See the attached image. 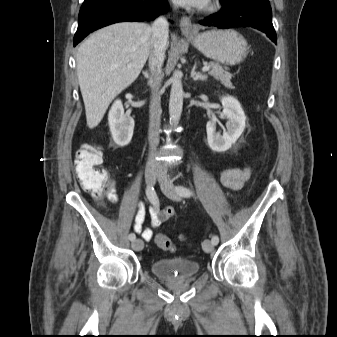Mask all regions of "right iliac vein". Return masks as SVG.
<instances>
[{"mask_svg": "<svg viewBox=\"0 0 337 337\" xmlns=\"http://www.w3.org/2000/svg\"><path fill=\"white\" fill-rule=\"evenodd\" d=\"M158 172H159V170L156 166L150 165L146 168L145 179H146V182L149 185L152 186V185L155 184ZM131 247L135 251H140L143 248V241L141 239H136V240L132 241Z\"/></svg>", "mask_w": 337, "mask_h": 337, "instance_id": "obj_1", "label": "right iliac vein"}]
</instances>
